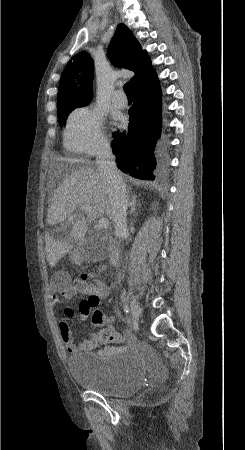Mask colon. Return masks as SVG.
<instances>
[{
    "label": "colon",
    "instance_id": "1",
    "mask_svg": "<svg viewBox=\"0 0 245 450\" xmlns=\"http://www.w3.org/2000/svg\"><path fill=\"white\" fill-rule=\"evenodd\" d=\"M74 287L77 291L91 295L86 301H84V309L91 313L92 322L101 327V330L96 334L98 340L102 343H114L121 342L122 337L112 329L111 325L114 323L112 317L107 316L100 310L94 309L98 304V300L94 299L93 291L94 285L91 281V275L89 273H82L78 275L74 280ZM67 316L73 315L70 310H66Z\"/></svg>",
    "mask_w": 245,
    "mask_h": 450
}]
</instances>
